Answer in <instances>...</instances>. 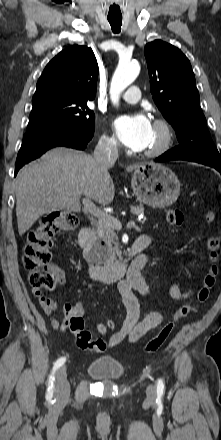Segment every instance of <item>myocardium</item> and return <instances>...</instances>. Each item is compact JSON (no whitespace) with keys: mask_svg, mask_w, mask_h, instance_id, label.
<instances>
[{"mask_svg":"<svg viewBox=\"0 0 221 440\" xmlns=\"http://www.w3.org/2000/svg\"><path fill=\"white\" fill-rule=\"evenodd\" d=\"M153 126L161 132V139L159 143L143 152L146 157H158L166 153L172 146L174 140V133L170 123L164 118H156Z\"/></svg>","mask_w":221,"mask_h":440,"instance_id":"myocardium-1","label":"myocardium"}]
</instances>
